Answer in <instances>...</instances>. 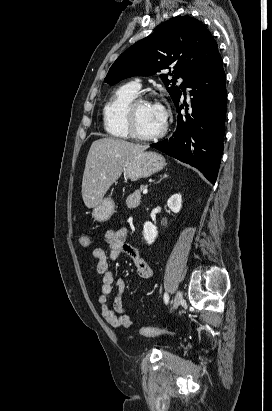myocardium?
<instances>
[{"instance_id":"f54148a6","label":"myocardium","mask_w":272,"mask_h":411,"mask_svg":"<svg viewBox=\"0 0 272 411\" xmlns=\"http://www.w3.org/2000/svg\"><path fill=\"white\" fill-rule=\"evenodd\" d=\"M150 102L149 98L144 95H137L134 99H132L126 107L125 110V123L129 133V136L135 140L139 141H156L164 137L167 132L168 123H167V116L164 113L163 125L162 128L155 134L152 135H144L137 130L136 127V110L137 107L141 103Z\"/></svg>"}]
</instances>
